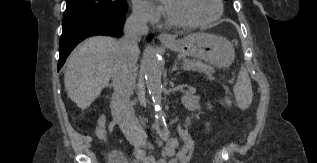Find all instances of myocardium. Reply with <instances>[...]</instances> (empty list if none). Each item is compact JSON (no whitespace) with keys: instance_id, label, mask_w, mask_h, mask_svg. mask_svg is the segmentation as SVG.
I'll use <instances>...</instances> for the list:
<instances>
[{"instance_id":"myocardium-1","label":"myocardium","mask_w":317,"mask_h":163,"mask_svg":"<svg viewBox=\"0 0 317 163\" xmlns=\"http://www.w3.org/2000/svg\"><path fill=\"white\" fill-rule=\"evenodd\" d=\"M216 3H217V13L213 17L206 19V20H198V21L181 20V19L177 18L171 12V10L167 7V5L165 3H163V12H164V15H165L167 22L170 25L180 27V28H195V27H199V26H205V25L212 24L220 19V17L223 14V9H224L223 1L216 0Z\"/></svg>"}]
</instances>
